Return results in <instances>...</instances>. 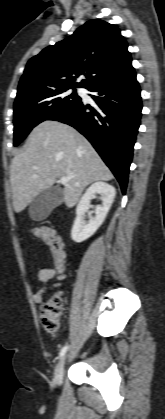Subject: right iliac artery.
<instances>
[{"mask_svg":"<svg viewBox=\"0 0 165 419\" xmlns=\"http://www.w3.org/2000/svg\"><path fill=\"white\" fill-rule=\"evenodd\" d=\"M67 349H68V346L66 345V346H64L62 349H61V351H60V353H59V357L58 358H61L65 353H66V351H67Z\"/></svg>","mask_w":165,"mask_h":419,"instance_id":"obj_1","label":"right iliac artery"}]
</instances>
